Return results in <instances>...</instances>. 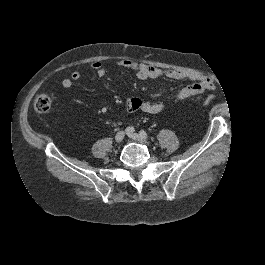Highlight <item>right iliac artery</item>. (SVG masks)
<instances>
[{"instance_id": "obj_1", "label": "right iliac artery", "mask_w": 265, "mask_h": 265, "mask_svg": "<svg viewBox=\"0 0 265 265\" xmlns=\"http://www.w3.org/2000/svg\"><path fill=\"white\" fill-rule=\"evenodd\" d=\"M135 131L134 127L133 126H129L125 129V132L127 134H130V133H133Z\"/></svg>"}]
</instances>
